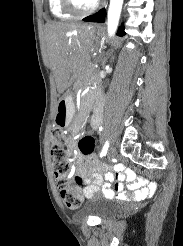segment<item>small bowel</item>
I'll use <instances>...</instances> for the list:
<instances>
[{"instance_id": "small-bowel-1", "label": "small bowel", "mask_w": 183, "mask_h": 246, "mask_svg": "<svg viewBox=\"0 0 183 246\" xmlns=\"http://www.w3.org/2000/svg\"><path fill=\"white\" fill-rule=\"evenodd\" d=\"M93 128H96L93 125ZM73 137L69 141V147L73 153V158L77 164V175L83 180H87L90 183L83 188V194L86 197H91L94 192L101 186V191L107 195V198H118V199H127V200H141L145 198H153V193L151 191H158L157 181H151V178L148 175H139L138 180L133 174V169H126V165L123 160L119 161L120 165H115V169H112V172L105 171L104 173L96 166V157H84L82 152H78V145L76 144L75 135L77 134V129L72 128ZM121 170H124V173H121ZM115 179H118V182H112ZM125 179L126 189H131L132 192L126 193L125 188L123 187L122 180ZM150 182V187L146 186L145 183Z\"/></svg>"}]
</instances>
